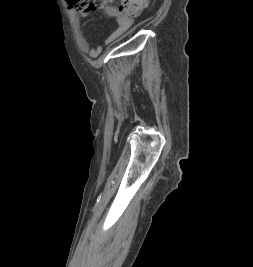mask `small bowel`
I'll use <instances>...</instances> for the list:
<instances>
[{
	"label": "small bowel",
	"instance_id": "small-bowel-1",
	"mask_svg": "<svg viewBox=\"0 0 253 267\" xmlns=\"http://www.w3.org/2000/svg\"><path fill=\"white\" fill-rule=\"evenodd\" d=\"M106 12L110 17L115 19L117 25L116 28L108 35L105 42L103 44L96 45L95 47H91L86 37L84 36L79 16L75 12L70 13L77 44L83 52L89 54L92 58L99 56L106 45H109L120 38L131 27L133 23L132 17L118 12L113 7H107Z\"/></svg>",
	"mask_w": 253,
	"mask_h": 267
}]
</instances>
